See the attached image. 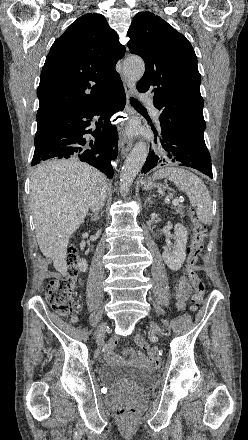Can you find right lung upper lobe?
<instances>
[{"label":"right lung upper lobe","mask_w":248,"mask_h":440,"mask_svg":"<svg viewBox=\"0 0 248 440\" xmlns=\"http://www.w3.org/2000/svg\"><path fill=\"white\" fill-rule=\"evenodd\" d=\"M124 54L103 15L85 14L74 21L46 57L37 90V122L106 96L120 79L115 65Z\"/></svg>","instance_id":"right-lung-upper-lobe-1"}]
</instances>
